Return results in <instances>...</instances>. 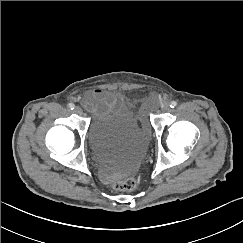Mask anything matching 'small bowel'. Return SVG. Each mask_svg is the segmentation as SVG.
<instances>
[{
    "label": "small bowel",
    "instance_id": "1",
    "mask_svg": "<svg viewBox=\"0 0 243 243\" xmlns=\"http://www.w3.org/2000/svg\"><path fill=\"white\" fill-rule=\"evenodd\" d=\"M121 99L122 96L119 92L98 88L89 92L83 102L91 111L102 112L119 103Z\"/></svg>",
    "mask_w": 243,
    "mask_h": 243
}]
</instances>
